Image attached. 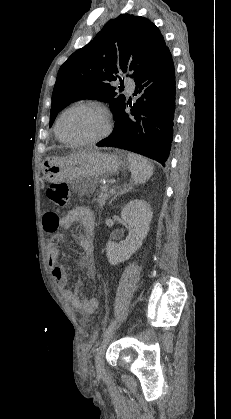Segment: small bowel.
<instances>
[{"mask_svg": "<svg viewBox=\"0 0 231 419\" xmlns=\"http://www.w3.org/2000/svg\"><path fill=\"white\" fill-rule=\"evenodd\" d=\"M81 225V232L74 236L76 243L82 248L84 256L82 265L91 266L94 251L95 217L93 212L86 207H77L70 210L65 216L59 218L54 213L45 214L42 224L45 231L52 233V237L47 246L48 264L52 269L54 282L59 290L63 292L66 301L80 315H92L99 307L97 298H86L78 282L73 290L67 289V275L65 267L57 262L60 256V243L63 235L57 233L58 228L68 229L74 224Z\"/></svg>", "mask_w": 231, "mask_h": 419, "instance_id": "small-bowel-1", "label": "small bowel"}]
</instances>
